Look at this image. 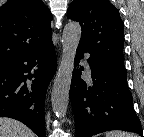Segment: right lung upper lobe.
Listing matches in <instances>:
<instances>
[{
  "instance_id": "right-lung-upper-lobe-1",
  "label": "right lung upper lobe",
  "mask_w": 144,
  "mask_h": 137,
  "mask_svg": "<svg viewBox=\"0 0 144 137\" xmlns=\"http://www.w3.org/2000/svg\"><path fill=\"white\" fill-rule=\"evenodd\" d=\"M52 15L42 0H8L0 7V67L51 40Z\"/></svg>"
}]
</instances>
